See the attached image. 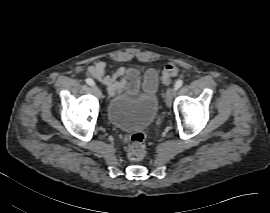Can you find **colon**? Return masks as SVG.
Masks as SVG:
<instances>
[{
	"label": "colon",
	"mask_w": 270,
	"mask_h": 213,
	"mask_svg": "<svg viewBox=\"0 0 270 213\" xmlns=\"http://www.w3.org/2000/svg\"><path fill=\"white\" fill-rule=\"evenodd\" d=\"M178 72L174 64H168L164 67L161 75L162 82L169 84L172 77ZM146 155V133L139 131L131 134L127 146V156L131 161H139Z\"/></svg>",
	"instance_id": "1"
}]
</instances>
